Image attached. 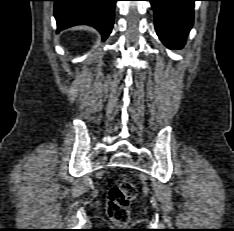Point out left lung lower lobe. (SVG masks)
Listing matches in <instances>:
<instances>
[{"mask_svg": "<svg viewBox=\"0 0 234 231\" xmlns=\"http://www.w3.org/2000/svg\"><path fill=\"white\" fill-rule=\"evenodd\" d=\"M154 8L155 28L169 48L181 47L193 24L196 0H149Z\"/></svg>", "mask_w": 234, "mask_h": 231, "instance_id": "obj_1", "label": "left lung lower lobe"}]
</instances>
